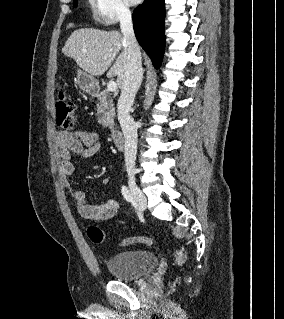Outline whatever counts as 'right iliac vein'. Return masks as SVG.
I'll return each instance as SVG.
<instances>
[{
    "label": "right iliac vein",
    "mask_w": 284,
    "mask_h": 319,
    "mask_svg": "<svg viewBox=\"0 0 284 319\" xmlns=\"http://www.w3.org/2000/svg\"><path fill=\"white\" fill-rule=\"evenodd\" d=\"M129 187L132 192L133 198L136 201L138 208L140 211H144L146 209L147 200L145 195L142 193L140 188L137 186L135 182V178L132 174H129Z\"/></svg>",
    "instance_id": "right-iliac-vein-1"
}]
</instances>
